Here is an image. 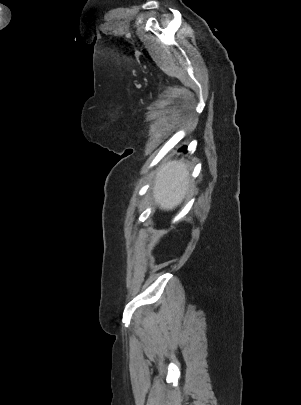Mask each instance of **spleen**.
I'll list each match as a JSON object with an SVG mask.
<instances>
[{"mask_svg": "<svg viewBox=\"0 0 301 405\" xmlns=\"http://www.w3.org/2000/svg\"><path fill=\"white\" fill-rule=\"evenodd\" d=\"M190 188L189 171L182 161H171L158 172L154 197L161 209L170 210L178 206Z\"/></svg>", "mask_w": 301, "mask_h": 405, "instance_id": "3e777b00", "label": "spleen"}]
</instances>
